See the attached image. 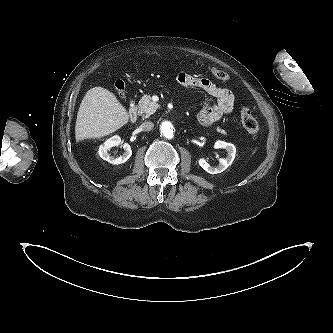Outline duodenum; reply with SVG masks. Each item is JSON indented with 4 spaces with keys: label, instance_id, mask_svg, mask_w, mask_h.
I'll return each mask as SVG.
<instances>
[{
    "label": "duodenum",
    "instance_id": "duodenum-1",
    "mask_svg": "<svg viewBox=\"0 0 333 333\" xmlns=\"http://www.w3.org/2000/svg\"><path fill=\"white\" fill-rule=\"evenodd\" d=\"M138 117L137 107L133 101L130 103L129 120L135 122Z\"/></svg>",
    "mask_w": 333,
    "mask_h": 333
}]
</instances>
